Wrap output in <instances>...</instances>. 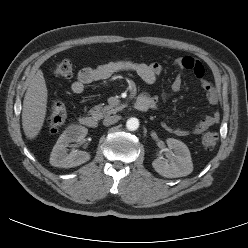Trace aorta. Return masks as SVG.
Segmentation results:
<instances>
[{
  "mask_svg": "<svg viewBox=\"0 0 248 248\" xmlns=\"http://www.w3.org/2000/svg\"><path fill=\"white\" fill-rule=\"evenodd\" d=\"M126 127L130 131H135L139 128V120L135 117L129 118L126 122Z\"/></svg>",
  "mask_w": 248,
  "mask_h": 248,
  "instance_id": "762f6f07",
  "label": "aorta"
}]
</instances>
